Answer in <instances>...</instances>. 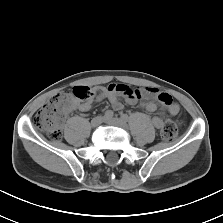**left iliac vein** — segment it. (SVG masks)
Returning a JSON list of instances; mask_svg holds the SVG:
<instances>
[{
  "mask_svg": "<svg viewBox=\"0 0 223 223\" xmlns=\"http://www.w3.org/2000/svg\"><path fill=\"white\" fill-rule=\"evenodd\" d=\"M105 122L109 125L118 126L123 129H126L128 127L126 121L123 120L122 118L105 119Z\"/></svg>",
  "mask_w": 223,
  "mask_h": 223,
  "instance_id": "left-iliac-vein-1",
  "label": "left iliac vein"
}]
</instances>
